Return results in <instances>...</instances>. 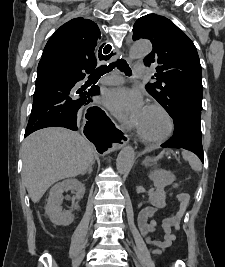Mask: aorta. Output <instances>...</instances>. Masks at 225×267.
<instances>
[{
	"instance_id": "762f6f07",
	"label": "aorta",
	"mask_w": 225,
	"mask_h": 267,
	"mask_svg": "<svg viewBox=\"0 0 225 267\" xmlns=\"http://www.w3.org/2000/svg\"><path fill=\"white\" fill-rule=\"evenodd\" d=\"M152 50V45L149 41L135 42L129 51L130 59H138L146 56ZM135 158V153L132 147H124L118 154L116 160V168L118 173L126 174L132 167Z\"/></svg>"
}]
</instances>
